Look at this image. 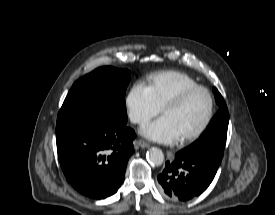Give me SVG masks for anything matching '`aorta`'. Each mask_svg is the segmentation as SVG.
<instances>
[{"instance_id": "aorta-1", "label": "aorta", "mask_w": 275, "mask_h": 215, "mask_svg": "<svg viewBox=\"0 0 275 215\" xmlns=\"http://www.w3.org/2000/svg\"><path fill=\"white\" fill-rule=\"evenodd\" d=\"M147 160L151 165L160 166L164 161V154L161 149L152 147L147 152Z\"/></svg>"}]
</instances>
